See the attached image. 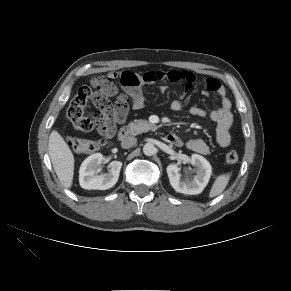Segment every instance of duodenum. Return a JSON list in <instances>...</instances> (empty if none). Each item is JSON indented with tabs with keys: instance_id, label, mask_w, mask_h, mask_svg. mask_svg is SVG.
Wrapping results in <instances>:
<instances>
[{
	"instance_id": "1",
	"label": "duodenum",
	"mask_w": 291,
	"mask_h": 291,
	"mask_svg": "<svg viewBox=\"0 0 291 291\" xmlns=\"http://www.w3.org/2000/svg\"><path fill=\"white\" fill-rule=\"evenodd\" d=\"M131 135V129L127 126L121 127L118 133V137L120 140H126ZM166 142L170 144H176L178 142V137L174 134H168L165 137Z\"/></svg>"
}]
</instances>
